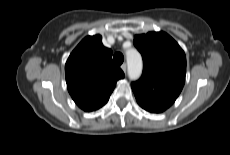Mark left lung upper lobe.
Wrapping results in <instances>:
<instances>
[{
	"label": "left lung upper lobe",
	"mask_w": 230,
	"mask_h": 155,
	"mask_svg": "<svg viewBox=\"0 0 230 155\" xmlns=\"http://www.w3.org/2000/svg\"><path fill=\"white\" fill-rule=\"evenodd\" d=\"M133 43L143 58L142 77L131 84L136 99L170 107L185 83L184 51L165 32L136 35Z\"/></svg>",
	"instance_id": "1"
}]
</instances>
